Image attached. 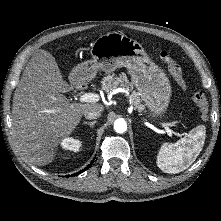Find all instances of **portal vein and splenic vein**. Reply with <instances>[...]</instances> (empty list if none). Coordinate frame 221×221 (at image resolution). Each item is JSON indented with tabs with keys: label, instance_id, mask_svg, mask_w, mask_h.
I'll return each instance as SVG.
<instances>
[{
	"label": "portal vein and splenic vein",
	"instance_id": "1",
	"mask_svg": "<svg viewBox=\"0 0 221 221\" xmlns=\"http://www.w3.org/2000/svg\"><path fill=\"white\" fill-rule=\"evenodd\" d=\"M79 100L80 102H98L100 100V96L95 93H85L81 95ZM161 125L164 127L169 136H172V134L175 133L169 128V126L166 123H162Z\"/></svg>",
	"mask_w": 221,
	"mask_h": 221
}]
</instances>
